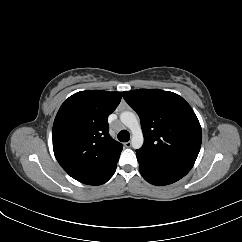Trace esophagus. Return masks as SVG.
<instances>
[{
    "label": "esophagus",
    "mask_w": 242,
    "mask_h": 242,
    "mask_svg": "<svg viewBox=\"0 0 242 242\" xmlns=\"http://www.w3.org/2000/svg\"><path fill=\"white\" fill-rule=\"evenodd\" d=\"M124 146H125L126 148H129V147H131V142H130V141H128V142H125V143H124Z\"/></svg>",
    "instance_id": "1"
}]
</instances>
